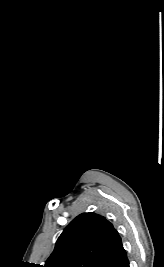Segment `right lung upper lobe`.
Masks as SVG:
<instances>
[{"label":"right lung upper lobe","mask_w":164,"mask_h":267,"mask_svg":"<svg viewBox=\"0 0 164 267\" xmlns=\"http://www.w3.org/2000/svg\"><path fill=\"white\" fill-rule=\"evenodd\" d=\"M122 248L118 232L105 217L83 213L64 229L44 267H99Z\"/></svg>","instance_id":"right-lung-upper-lobe-1"}]
</instances>
